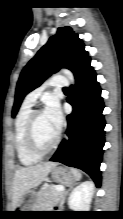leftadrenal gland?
<instances>
[{"mask_svg":"<svg viewBox=\"0 0 123 219\" xmlns=\"http://www.w3.org/2000/svg\"><path fill=\"white\" fill-rule=\"evenodd\" d=\"M71 189H72V187H70L69 190H67V191L64 192V195H63V197H62L61 204H60L61 207L63 206V204H64V202H65L66 195L68 194V192H69Z\"/></svg>","mask_w":123,"mask_h":219,"instance_id":"left-adrenal-gland-1","label":"left adrenal gland"}]
</instances>
